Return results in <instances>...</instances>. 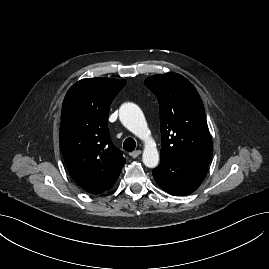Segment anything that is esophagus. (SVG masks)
Wrapping results in <instances>:
<instances>
[{"instance_id": "1", "label": "esophagus", "mask_w": 269, "mask_h": 269, "mask_svg": "<svg viewBox=\"0 0 269 269\" xmlns=\"http://www.w3.org/2000/svg\"><path fill=\"white\" fill-rule=\"evenodd\" d=\"M140 154H141V150H135V151H133L130 155H131L133 158H137Z\"/></svg>"}]
</instances>
